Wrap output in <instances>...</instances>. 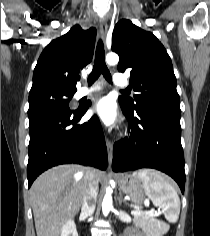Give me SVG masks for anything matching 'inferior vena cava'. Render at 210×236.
<instances>
[{"label":"inferior vena cava","instance_id":"inferior-vena-cava-1","mask_svg":"<svg viewBox=\"0 0 210 236\" xmlns=\"http://www.w3.org/2000/svg\"><path fill=\"white\" fill-rule=\"evenodd\" d=\"M98 195V182L94 178L93 171L88 174V187L83 197L82 213L85 215H92L95 211V205Z\"/></svg>","mask_w":210,"mask_h":236}]
</instances>
